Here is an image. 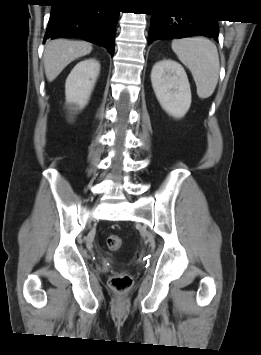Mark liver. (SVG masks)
Returning a JSON list of instances; mask_svg holds the SVG:
<instances>
[{"label":"liver","mask_w":261,"mask_h":355,"mask_svg":"<svg viewBox=\"0 0 261 355\" xmlns=\"http://www.w3.org/2000/svg\"><path fill=\"white\" fill-rule=\"evenodd\" d=\"M91 51L92 45L84 41L58 39L47 42L43 56L47 80L53 81L69 63Z\"/></svg>","instance_id":"1"}]
</instances>
